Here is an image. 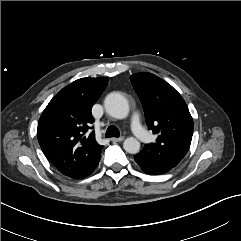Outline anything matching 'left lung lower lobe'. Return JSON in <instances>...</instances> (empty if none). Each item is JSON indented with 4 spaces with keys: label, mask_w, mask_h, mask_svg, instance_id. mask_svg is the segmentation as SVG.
<instances>
[{
    "label": "left lung lower lobe",
    "mask_w": 241,
    "mask_h": 241,
    "mask_svg": "<svg viewBox=\"0 0 241 241\" xmlns=\"http://www.w3.org/2000/svg\"><path fill=\"white\" fill-rule=\"evenodd\" d=\"M142 170L145 173L152 174V175H160V174H164L169 171L166 168H152V167L142 168Z\"/></svg>",
    "instance_id": "0a47b994"
}]
</instances>
